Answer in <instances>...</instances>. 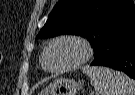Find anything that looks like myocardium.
<instances>
[{"instance_id": "1", "label": "myocardium", "mask_w": 135, "mask_h": 95, "mask_svg": "<svg viewBox=\"0 0 135 95\" xmlns=\"http://www.w3.org/2000/svg\"><path fill=\"white\" fill-rule=\"evenodd\" d=\"M63 41H71L78 44L82 49L81 58L77 60L75 63L62 67V68H56V69L49 68L46 64V59H47L49 51L55 44L59 42H63ZM92 55H93V48L90 42L84 37L75 35V34L61 35L53 39L45 48L44 53L42 55V66L45 70L49 72H56V73L65 72V71H69L83 65L92 57Z\"/></svg>"}]
</instances>
